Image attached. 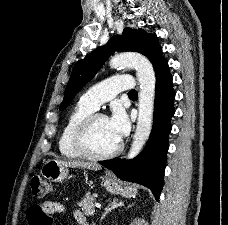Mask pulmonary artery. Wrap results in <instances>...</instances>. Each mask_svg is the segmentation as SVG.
Wrapping results in <instances>:
<instances>
[{
    "instance_id": "pulmonary-artery-1",
    "label": "pulmonary artery",
    "mask_w": 228,
    "mask_h": 225,
    "mask_svg": "<svg viewBox=\"0 0 228 225\" xmlns=\"http://www.w3.org/2000/svg\"><path fill=\"white\" fill-rule=\"evenodd\" d=\"M117 79L130 80V75L113 76L107 81H101L100 85H94L93 89L83 93L79 101L98 110L104 102L110 100L115 94H119L120 90H135L132 81H112Z\"/></svg>"
}]
</instances>
